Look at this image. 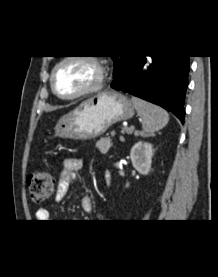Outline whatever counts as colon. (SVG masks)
I'll list each match as a JSON object with an SVG mask.
<instances>
[{
	"mask_svg": "<svg viewBox=\"0 0 218 277\" xmlns=\"http://www.w3.org/2000/svg\"><path fill=\"white\" fill-rule=\"evenodd\" d=\"M55 181L53 176L45 171H36L28 178L30 198L34 203L47 200L53 193Z\"/></svg>",
	"mask_w": 218,
	"mask_h": 277,
	"instance_id": "1",
	"label": "colon"
}]
</instances>
